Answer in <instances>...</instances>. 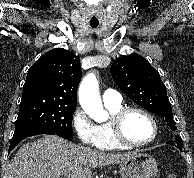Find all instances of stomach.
Wrapping results in <instances>:
<instances>
[{
  "label": "stomach",
  "mask_w": 194,
  "mask_h": 178,
  "mask_svg": "<svg viewBox=\"0 0 194 178\" xmlns=\"http://www.w3.org/2000/svg\"><path fill=\"white\" fill-rule=\"evenodd\" d=\"M157 173L155 159L145 153L135 154L120 164L122 178H155Z\"/></svg>",
  "instance_id": "stomach-1"
}]
</instances>
